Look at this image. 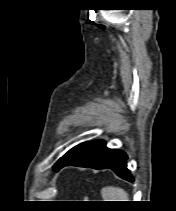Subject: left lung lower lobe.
<instances>
[{
	"mask_svg": "<svg viewBox=\"0 0 176 211\" xmlns=\"http://www.w3.org/2000/svg\"><path fill=\"white\" fill-rule=\"evenodd\" d=\"M68 165L91 167L94 169L109 168L119 177L129 182L134 181V178L127 169V155L123 151L107 148L105 141L102 140L88 142L80 152L64 161L56 171Z\"/></svg>",
	"mask_w": 176,
	"mask_h": 211,
	"instance_id": "obj_1",
	"label": "left lung lower lobe"
}]
</instances>
